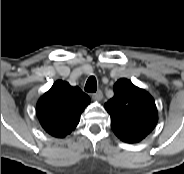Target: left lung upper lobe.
Returning <instances> with one entry per match:
<instances>
[{
  "instance_id": "1",
  "label": "left lung upper lobe",
  "mask_w": 184,
  "mask_h": 174,
  "mask_svg": "<svg viewBox=\"0 0 184 174\" xmlns=\"http://www.w3.org/2000/svg\"><path fill=\"white\" fill-rule=\"evenodd\" d=\"M104 106L111 117V128L121 140L141 141L158 121L152 96L125 78L114 84V96Z\"/></svg>"
}]
</instances>
